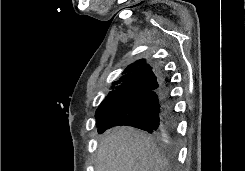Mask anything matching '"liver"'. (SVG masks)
Segmentation results:
<instances>
[{
	"label": "liver",
	"instance_id": "1",
	"mask_svg": "<svg viewBox=\"0 0 245 171\" xmlns=\"http://www.w3.org/2000/svg\"><path fill=\"white\" fill-rule=\"evenodd\" d=\"M95 171H170V166L150 135L131 127H116L100 140Z\"/></svg>",
	"mask_w": 245,
	"mask_h": 171
}]
</instances>
